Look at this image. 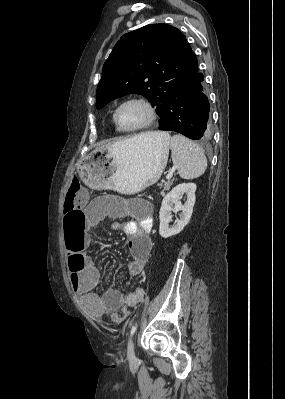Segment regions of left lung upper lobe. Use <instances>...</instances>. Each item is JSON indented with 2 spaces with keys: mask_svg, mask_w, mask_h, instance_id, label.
I'll use <instances>...</instances> for the list:
<instances>
[{
  "mask_svg": "<svg viewBox=\"0 0 285 399\" xmlns=\"http://www.w3.org/2000/svg\"><path fill=\"white\" fill-rule=\"evenodd\" d=\"M198 66L185 36L167 24H151L123 35L103 65L97 109L110 100L136 93L146 97L162 125L177 85Z\"/></svg>",
  "mask_w": 285,
  "mask_h": 399,
  "instance_id": "1",
  "label": "left lung upper lobe"
}]
</instances>
